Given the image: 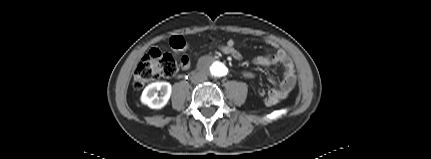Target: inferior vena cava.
Returning <instances> with one entry per match:
<instances>
[{
    "label": "inferior vena cava",
    "mask_w": 431,
    "mask_h": 159,
    "mask_svg": "<svg viewBox=\"0 0 431 159\" xmlns=\"http://www.w3.org/2000/svg\"><path fill=\"white\" fill-rule=\"evenodd\" d=\"M207 79L206 75L202 73H194L191 77L193 83H201Z\"/></svg>",
    "instance_id": "1"
}]
</instances>
